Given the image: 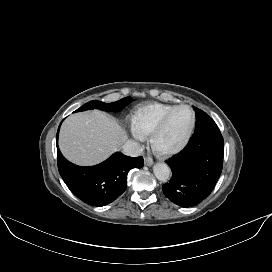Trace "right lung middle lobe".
Segmentation results:
<instances>
[{
	"instance_id": "dd1d6c3e",
	"label": "right lung middle lobe",
	"mask_w": 272,
	"mask_h": 272,
	"mask_svg": "<svg viewBox=\"0 0 272 272\" xmlns=\"http://www.w3.org/2000/svg\"><path fill=\"white\" fill-rule=\"evenodd\" d=\"M131 100H132L131 97H126L112 103H104L101 101H90L74 112H80V111L92 110V109H100L105 111H118L122 109L125 105L130 103Z\"/></svg>"
}]
</instances>
